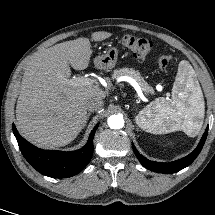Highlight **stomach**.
I'll return each instance as SVG.
<instances>
[{"label": "stomach", "mask_w": 215, "mask_h": 215, "mask_svg": "<svg viewBox=\"0 0 215 215\" xmlns=\"http://www.w3.org/2000/svg\"><path fill=\"white\" fill-rule=\"evenodd\" d=\"M118 59V50L117 48H109L103 55L98 56L95 58L94 63L95 66L99 69H112L115 67ZM139 127H141L143 130L145 129V126L141 123H138Z\"/></svg>", "instance_id": "stomach-1"}]
</instances>
